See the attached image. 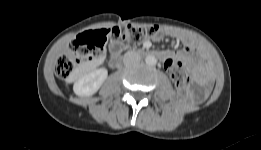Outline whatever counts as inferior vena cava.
<instances>
[{
    "label": "inferior vena cava",
    "instance_id": "inferior-vena-cava-1",
    "mask_svg": "<svg viewBox=\"0 0 261 150\" xmlns=\"http://www.w3.org/2000/svg\"><path fill=\"white\" fill-rule=\"evenodd\" d=\"M140 60H141L140 56L135 51H128L124 55V64L126 66L138 64Z\"/></svg>",
    "mask_w": 261,
    "mask_h": 150
}]
</instances>
